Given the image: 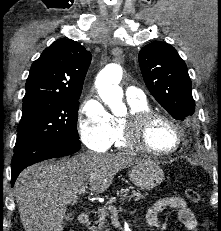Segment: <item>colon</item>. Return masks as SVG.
<instances>
[{"label": "colon", "instance_id": "colon-1", "mask_svg": "<svg viewBox=\"0 0 221 231\" xmlns=\"http://www.w3.org/2000/svg\"><path fill=\"white\" fill-rule=\"evenodd\" d=\"M185 194L186 197L194 204H198L201 200L199 193L193 188H187Z\"/></svg>", "mask_w": 221, "mask_h": 231}]
</instances>
